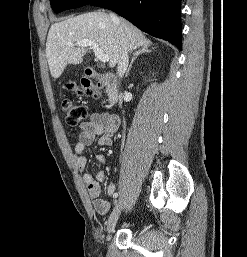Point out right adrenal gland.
Listing matches in <instances>:
<instances>
[{"mask_svg": "<svg viewBox=\"0 0 247 257\" xmlns=\"http://www.w3.org/2000/svg\"><path fill=\"white\" fill-rule=\"evenodd\" d=\"M151 51H152V50L149 49L148 46H143V47H141V49H139L138 51H135V53L133 54V58H132V60H131V63H130V65H129L127 71H126L125 76L127 77V76L129 75V72H130V70H131V68H132V65H133L134 61L137 59V57H138L139 55L144 54V53H150Z\"/></svg>", "mask_w": 247, "mask_h": 257, "instance_id": "1", "label": "right adrenal gland"}]
</instances>
